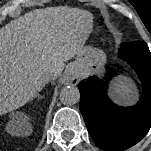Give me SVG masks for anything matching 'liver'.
<instances>
[{"label": "liver", "mask_w": 151, "mask_h": 151, "mask_svg": "<svg viewBox=\"0 0 151 151\" xmlns=\"http://www.w3.org/2000/svg\"><path fill=\"white\" fill-rule=\"evenodd\" d=\"M93 15L70 7L37 9L0 29V116L30 101L64 62L84 50Z\"/></svg>", "instance_id": "obj_1"}]
</instances>
